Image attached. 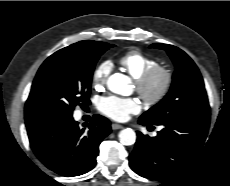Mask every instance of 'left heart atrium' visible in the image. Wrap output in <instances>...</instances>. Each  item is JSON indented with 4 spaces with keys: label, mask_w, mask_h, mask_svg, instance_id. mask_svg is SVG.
Masks as SVG:
<instances>
[{
    "label": "left heart atrium",
    "mask_w": 230,
    "mask_h": 186,
    "mask_svg": "<svg viewBox=\"0 0 230 186\" xmlns=\"http://www.w3.org/2000/svg\"><path fill=\"white\" fill-rule=\"evenodd\" d=\"M99 109L103 114L116 121H125L132 114L140 111V104L133 98L108 96L100 99Z\"/></svg>",
    "instance_id": "left-heart-atrium-1"
}]
</instances>
